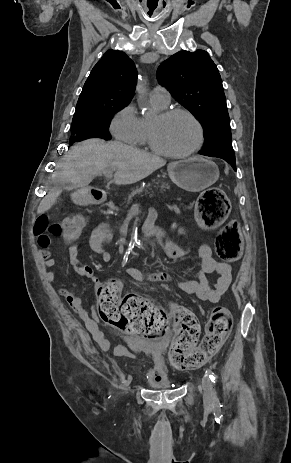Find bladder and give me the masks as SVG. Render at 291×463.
Masks as SVG:
<instances>
[{
	"instance_id": "bladder-1",
	"label": "bladder",
	"mask_w": 291,
	"mask_h": 463,
	"mask_svg": "<svg viewBox=\"0 0 291 463\" xmlns=\"http://www.w3.org/2000/svg\"><path fill=\"white\" fill-rule=\"evenodd\" d=\"M127 347L135 353H148L154 363L152 371L147 374V382L150 387L155 389L169 388L175 385L169 378L165 369V361L161 354L148 351V345L128 339Z\"/></svg>"
}]
</instances>
